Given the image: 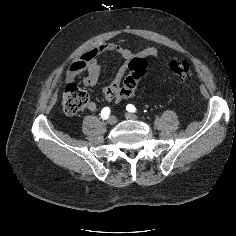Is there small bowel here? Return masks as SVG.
Instances as JSON below:
<instances>
[{"instance_id":"small-bowel-1","label":"small bowel","mask_w":236,"mask_h":236,"mask_svg":"<svg viewBox=\"0 0 236 236\" xmlns=\"http://www.w3.org/2000/svg\"><path fill=\"white\" fill-rule=\"evenodd\" d=\"M103 54L118 55L123 59L122 65L118 68L114 78L108 84L100 83L101 64L99 57ZM134 55L130 49L120 44L112 42L103 43L83 53L77 60L71 63L64 73V79L66 82H72L78 75L85 73L83 84L87 87H100L106 100L114 102L120 99L121 81L127 71L128 63ZM137 55L142 58L156 59L159 56V52L155 47H147L140 50ZM134 92H130L122 98L131 97ZM87 110L91 113L96 112V103L89 102Z\"/></svg>"}]
</instances>
